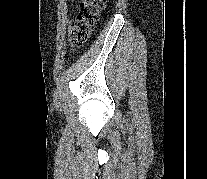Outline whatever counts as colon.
Listing matches in <instances>:
<instances>
[{
    "mask_svg": "<svg viewBox=\"0 0 207 179\" xmlns=\"http://www.w3.org/2000/svg\"><path fill=\"white\" fill-rule=\"evenodd\" d=\"M106 0H82L69 25V40L73 47L83 46L90 34V29L99 19L105 8Z\"/></svg>",
    "mask_w": 207,
    "mask_h": 179,
    "instance_id": "obj_1",
    "label": "colon"
}]
</instances>
